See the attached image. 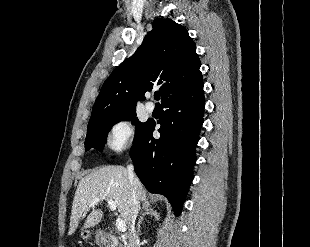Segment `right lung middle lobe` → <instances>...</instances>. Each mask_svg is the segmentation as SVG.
I'll list each match as a JSON object with an SVG mask.
<instances>
[{"label": "right lung middle lobe", "mask_w": 310, "mask_h": 247, "mask_svg": "<svg viewBox=\"0 0 310 247\" xmlns=\"http://www.w3.org/2000/svg\"><path fill=\"white\" fill-rule=\"evenodd\" d=\"M132 121L135 125V138L145 127L146 123H141L136 118V111L130 110L116 115L104 116L88 124L85 148L103 149L107 135L111 127L120 121ZM134 138V140H135Z\"/></svg>", "instance_id": "1"}]
</instances>
